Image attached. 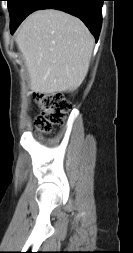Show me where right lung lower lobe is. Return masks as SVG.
I'll return each instance as SVG.
<instances>
[{"mask_svg": "<svg viewBox=\"0 0 133 253\" xmlns=\"http://www.w3.org/2000/svg\"><path fill=\"white\" fill-rule=\"evenodd\" d=\"M104 0H25L20 8L18 21L10 28L13 33L19 24L32 12L40 9H57L68 12L88 27L95 39H98Z\"/></svg>", "mask_w": 133, "mask_h": 253, "instance_id": "1", "label": "right lung lower lobe"}]
</instances>
